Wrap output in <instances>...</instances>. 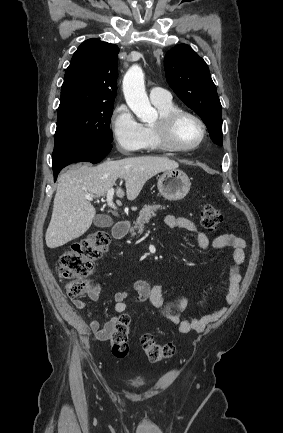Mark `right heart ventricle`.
<instances>
[{
  "label": "right heart ventricle",
  "instance_id": "right-heart-ventricle-1",
  "mask_svg": "<svg viewBox=\"0 0 283 433\" xmlns=\"http://www.w3.org/2000/svg\"><path fill=\"white\" fill-rule=\"evenodd\" d=\"M156 109H157V113H158V119L155 123L146 125L144 127L145 132L149 138V142L153 145H157V147L161 148V140H160V136H159V132L156 128V124L162 120L167 114H169L170 112L178 109V106L172 101H168V102H163V103H158V104H154Z\"/></svg>",
  "mask_w": 283,
  "mask_h": 433
}]
</instances>
